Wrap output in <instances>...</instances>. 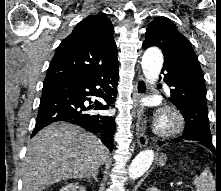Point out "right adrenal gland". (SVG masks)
I'll list each match as a JSON object with an SVG mask.
<instances>
[{
    "instance_id": "1",
    "label": "right adrenal gland",
    "mask_w": 221,
    "mask_h": 191,
    "mask_svg": "<svg viewBox=\"0 0 221 191\" xmlns=\"http://www.w3.org/2000/svg\"><path fill=\"white\" fill-rule=\"evenodd\" d=\"M98 172L93 173L92 175L87 176L86 178L89 180L90 178H93L96 182H98L97 178Z\"/></svg>"
}]
</instances>
